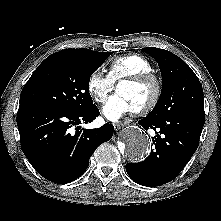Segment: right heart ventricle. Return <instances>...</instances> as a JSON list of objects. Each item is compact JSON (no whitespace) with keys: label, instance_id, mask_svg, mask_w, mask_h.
Here are the masks:
<instances>
[{"label":"right heart ventricle","instance_id":"1","mask_svg":"<svg viewBox=\"0 0 221 221\" xmlns=\"http://www.w3.org/2000/svg\"><path fill=\"white\" fill-rule=\"evenodd\" d=\"M153 71V66L144 56L139 54H127L114 58L108 68V76L114 83L121 79Z\"/></svg>","mask_w":221,"mask_h":221}]
</instances>
